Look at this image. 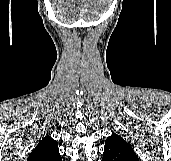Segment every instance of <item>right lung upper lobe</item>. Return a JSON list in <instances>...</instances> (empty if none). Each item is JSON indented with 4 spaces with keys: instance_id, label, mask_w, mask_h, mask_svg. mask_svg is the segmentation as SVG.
Masks as SVG:
<instances>
[{
    "instance_id": "obj_1",
    "label": "right lung upper lobe",
    "mask_w": 171,
    "mask_h": 161,
    "mask_svg": "<svg viewBox=\"0 0 171 161\" xmlns=\"http://www.w3.org/2000/svg\"><path fill=\"white\" fill-rule=\"evenodd\" d=\"M27 161H62L58 143L50 136H45L32 150Z\"/></svg>"
}]
</instances>
